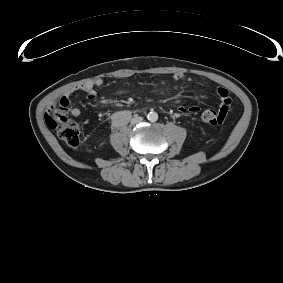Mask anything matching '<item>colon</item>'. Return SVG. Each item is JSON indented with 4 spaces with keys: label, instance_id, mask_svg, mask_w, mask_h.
<instances>
[{
    "label": "colon",
    "instance_id": "obj_1",
    "mask_svg": "<svg viewBox=\"0 0 283 283\" xmlns=\"http://www.w3.org/2000/svg\"><path fill=\"white\" fill-rule=\"evenodd\" d=\"M69 112V100L63 97L58 106L49 110L45 121L67 145L77 147L81 142V130L79 125L70 118ZM226 115V109H206L202 118L209 124L219 125L224 122Z\"/></svg>",
    "mask_w": 283,
    "mask_h": 283
}]
</instances>
